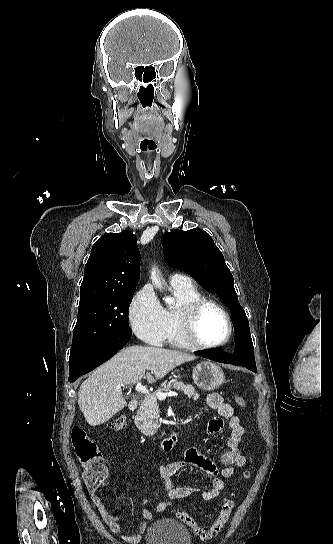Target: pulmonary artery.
I'll return each mask as SVG.
<instances>
[{
  "instance_id": "e3ab8cb5",
  "label": "pulmonary artery",
  "mask_w": 333,
  "mask_h": 544,
  "mask_svg": "<svg viewBox=\"0 0 333 544\" xmlns=\"http://www.w3.org/2000/svg\"><path fill=\"white\" fill-rule=\"evenodd\" d=\"M170 284L171 286H176V287H187V286H192L193 281L190 277L186 275L175 273L170 278Z\"/></svg>"
}]
</instances>
